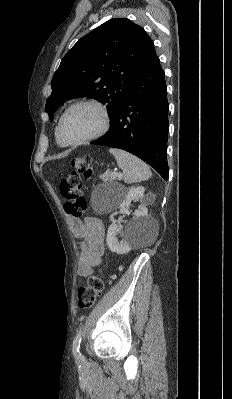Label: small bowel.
<instances>
[{"instance_id": "obj_1", "label": "small bowel", "mask_w": 232, "mask_h": 399, "mask_svg": "<svg viewBox=\"0 0 232 399\" xmlns=\"http://www.w3.org/2000/svg\"><path fill=\"white\" fill-rule=\"evenodd\" d=\"M74 231L75 236L84 242L78 257V277L80 281H84L90 276L91 268L100 260L103 224L100 220H85Z\"/></svg>"}]
</instances>
